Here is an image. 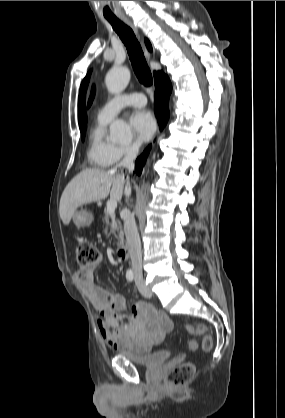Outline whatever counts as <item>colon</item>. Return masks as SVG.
Segmentation results:
<instances>
[{
	"label": "colon",
	"instance_id": "5ec220e1",
	"mask_svg": "<svg viewBox=\"0 0 285 418\" xmlns=\"http://www.w3.org/2000/svg\"><path fill=\"white\" fill-rule=\"evenodd\" d=\"M99 258L96 247L86 240H80L77 244V260L85 266L96 262ZM185 330L192 336H201V347L203 350H210L213 346V337L205 325L194 327L185 325ZM195 373V365L192 362H185L172 369L166 378L167 384L173 387H181L188 384Z\"/></svg>",
	"mask_w": 285,
	"mask_h": 418
}]
</instances>
